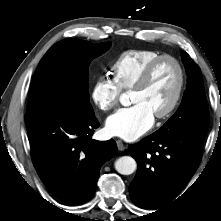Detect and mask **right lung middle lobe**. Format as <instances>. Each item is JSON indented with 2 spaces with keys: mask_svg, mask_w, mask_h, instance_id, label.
Here are the masks:
<instances>
[{
  "mask_svg": "<svg viewBox=\"0 0 221 221\" xmlns=\"http://www.w3.org/2000/svg\"><path fill=\"white\" fill-rule=\"evenodd\" d=\"M109 43L64 39L41 59L33 77L27 113L56 110L72 115L93 116L88 92V68Z\"/></svg>",
  "mask_w": 221,
  "mask_h": 221,
  "instance_id": "dd1d6c3e",
  "label": "right lung middle lobe"
}]
</instances>
